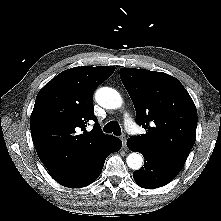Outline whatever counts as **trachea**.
I'll use <instances>...</instances> for the list:
<instances>
[{
	"mask_svg": "<svg viewBox=\"0 0 221 221\" xmlns=\"http://www.w3.org/2000/svg\"><path fill=\"white\" fill-rule=\"evenodd\" d=\"M104 131L107 133H113L116 136L121 134V128L117 121H111L104 126Z\"/></svg>",
	"mask_w": 221,
	"mask_h": 221,
	"instance_id": "3493384b",
	"label": "trachea"
}]
</instances>
